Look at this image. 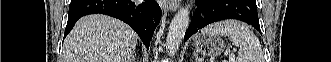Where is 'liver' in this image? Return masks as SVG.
Listing matches in <instances>:
<instances>
[{"label":"liver","mask_w":331,"mask_h":62,"mask_svg":"<svg viewBox=\"0 0 331 62\" xmlns=\"http://www.w3.org/2000/svg\"><path fill=\"white\" fill-rule=\"evenodd\" d=\"M137 40L136 32L120 20L84 16L64 41L62 62H129Z\"/></svg>","instance_id":"6515ba94"}]
</instances>
